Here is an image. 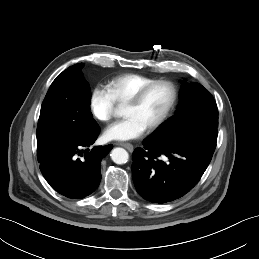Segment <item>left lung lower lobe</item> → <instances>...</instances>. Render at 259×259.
<instances>
[{
	"mask_svg": "<svg viewBox=\"0 0 259 259\" xmlns=\"http://www.w3.org/2000/svg\"><path fill=\"white\" fill-rule=\"evenodd\" d=\"M217 135L198 129L171 143L145 139L132 158V176L139 195L153 203H166L188 193L208 167Z\"/></svg>",
	"mask_w": 259,
	"mask_h": 259,
	"instance_id": "1",
	"label": "left lung lower lobe"
}]
</instances>
